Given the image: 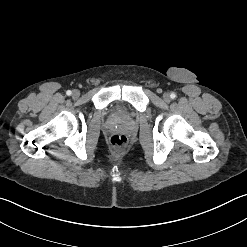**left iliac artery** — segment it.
Listing matches in <instances>:
<instances>
[{"mask_svg": "<svg viewBox=\"0 0 247 247\" xmlns=\"http://www.w3.org/2000/svg\"><path fill=\"white\" fill-rule=\"evenodd\" d=\"M170 97H171L172 99H175V98H176V94H175V93H171Z\"/></svg>", "mask_w": 247, "mask_h": 247, "instance_id": "left-iliac-artery-1", "label": "left iliac artery"}]
</instances>
